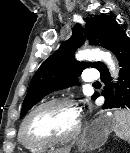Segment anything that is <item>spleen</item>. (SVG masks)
<instances>
[{
  "label": "spleen",
  "mask_w": 130,
  "mask_h": 153,
  "mask_svg": "<svg viewBox=\"0 0 130 153\" xmlns=\"http://www.w3.org/2000/svg\"><path fill=\"white\" fill-rule=\"evenodd\" d=\"M116 125L114 131L116 135L130 142V110H116L114 112Z\"/></svg>",
  "instance_id": "1"
}]
</instances>
